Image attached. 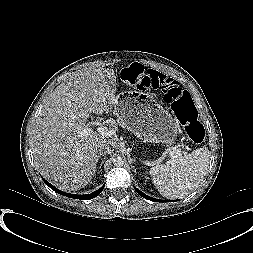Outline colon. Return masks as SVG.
I'll return each mask as SVG.
<instances>
[{
  "instance_id": "colon-1",
  "label": "colon",
  "mask_w": 253,
  "mask_h": 253,
  "mask_svg": "<svg viewBox=\"0 0 253 253\" xmlns=\"http://www.w3.org/2000/svg\"><path fill=\"white\" fill-rule=\"evenodd\" d=\"M146 73L143 66L133 63L123 68L121 75L125 82L137 86L144 80ZM162 91L164 102L183 123L186 135L194 143H201L205 137V129L197 120V109L189 92L181 86H172Z\"/></svg>"
}]
</instances>
